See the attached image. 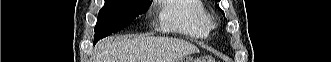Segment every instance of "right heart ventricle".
<instances>
[{
	"label": "right heart ventricle",
	"mask_w": 331,
	"mask_h": 62,
	"mask_svg": "<svg viewBox=\"0 0 331 62\" xmlns=\"http://www.w3.org/2000/svg\"><path fill=\"white\" fill-rule=\"evenodd\" d=\"M160 25L166 31L194 39L207 38L212 30L211 17L200 0L162 1Z\"/></svg>",
	"instance_id": "e07e8e85"
}]
</instances>
